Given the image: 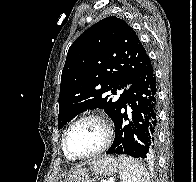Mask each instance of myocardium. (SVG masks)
<instances>
[{
  "mask_svg": "<svg viewBox=\"0 0 196 182\" xmlns=\"http://www.w3.org/2000/svg\"><path fill=\"white\" fill-rule=\"evenodd\" d=\"M85 121H96L97 123L100 124V126L103 129V133H104L103 142L96 150H94L93 152H91L87 155H76V154H73L68 148V136H69L70 132L72 131V129L76 125H78L79 123L85 122ZM112 138H113V131H112V127H111L110 123L108 122V120L100 114L89 113V114H86V115H83V116L77 118L75 121H73L69 125V127L65 131V134L63 137V150H64L66 156L69 157L70 159L88 160V159L94 158V157L100 155L101 153H103L110 146V144L112 142Z\"/></svg>",
  "mask_w": 196,
  "mask_h": 182,
  "instance_id": "myocardium-1",
  "label": "myocardium"
}]
</instances>
